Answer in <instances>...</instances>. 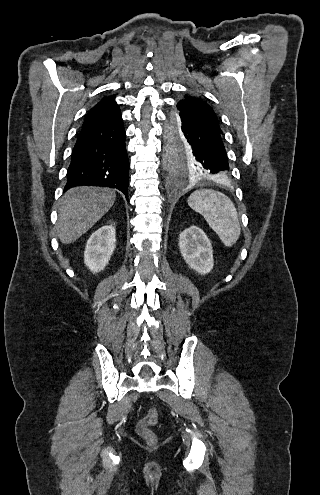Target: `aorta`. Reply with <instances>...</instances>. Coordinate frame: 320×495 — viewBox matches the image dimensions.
Returning <instances> with one entry per match:
<instances>
[{
	"label": "aorta",
	"instance_id": "1",
	"mask_svg": "<svg viewBox=\"0 0 320 495\" xmlns=\"http://www.w3.org/2000/svg\"><path fill=\"white\" fill-rule=\"evenodd\" d=\"M185 183H186V181H184V180H178V181H176V187L181 188L182 186L185 185Z\"/></svg>",
	"mask_w": 320,
	"mask_h": 495
}]
</instances>
